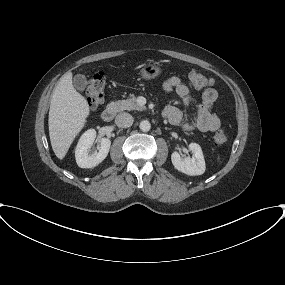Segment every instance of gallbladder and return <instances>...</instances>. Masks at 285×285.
<instances>
[{
	"label": "gallbladder",
	"instance_id": "bac80fb5",
	"mask_svg": "<svg viewBox=\"0 0 285 285\" xmlns=\"http://www.w3.org/2000/svg\"><path fill=\"white\" fill-rule=\"evenodd\" d=\"M73 83H74V86L75 88L78 90V91H84L85 88H86V85H87V79L85 77V75H82V74H77L74 76L73 78Z\"/></svg>",
	"mask_w": 285,
	"mask_h": 285
}]
</instances>
